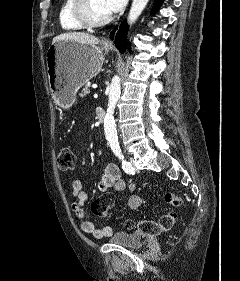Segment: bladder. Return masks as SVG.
<instances>
[{
	"label": "bladder",
	"instance_id": "31cf9c89",
	"mask_svg": "<svg viewBox=\"0 0 240 281\" xmlns=\"http://www.w3.org/2000/svg\"><path fill=\"white\" fill-rule=\"evenodd\" d=\"M110 242L114 245L122 246L129 249H138L145 243V235L139 232L120 231L114 233Z\"/></svg>",
	"mask_w": 240,
	"mask_h": 281
}]
</instances>
